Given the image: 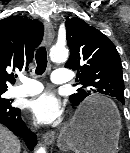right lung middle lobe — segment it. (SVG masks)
Returning <instances> with one entry per match:
<instances>
[{
  "mask_svg": "<svg viewBox=\"0 0 130 153\" xmlns=\"http://www.w3.org/2000/svg\"><path fill=\"white\" fill-rule=\"evenodd\" d=\"M5 91H0V103L3 104H8L10 103V101L8 99L2 98L1 95L4 93Z\"/></svg>",
  "mask_w": 130,
  "mask_h": 153,
  "instance_id": "dd1d6c3e",
  "label": "right lung middle lobe"
}]
</instances>
